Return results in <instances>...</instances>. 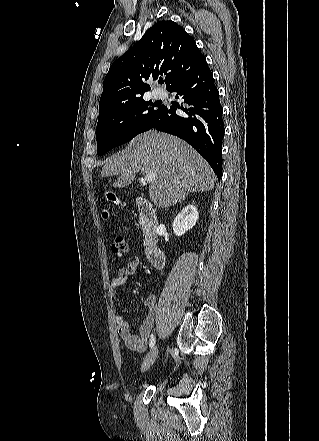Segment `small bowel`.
Segmentation results:
<instances>
[{
	"mask_svg": "<svg viewBox=\"0 0 319 441\" xmlns=\"http://www.w3.org/2000/svg\"><path fill=\"white\" fill-rule=\"evenodd\" d=\"M140 264L138 257L133 256L128 260L125 267H122L117 275L110 281L109 292L113 300H116L120 288L125 285L128 279L135 274ZM157 304V296L149 294L145 297L143 305L146 313L139 329V335L131 333L130 326L120 315L115 317V322L119 336L125 345L132 351L143 353L145 352L148 342L150 343L151 330L155 319V308Z\"/></svg>",
	"mask_w": 319,
	"mask_h": 441,
	"instance_id": "1",
	"label": "small bowel"
}]
</instances>
